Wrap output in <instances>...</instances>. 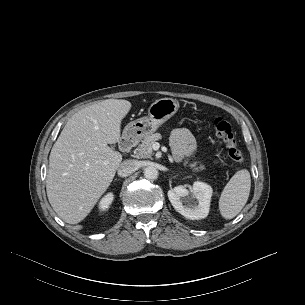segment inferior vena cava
I'll use <instances>...</instances> for the list:
<instances>
[{
  "label": "inferior vena cava",
  "mask_w": 305,
  "mask_h": 305,
  "mask_svg": "<svg viewBox=\"0 0 305 305\" xmlns=\"http://www.w3.org/2000/svg\"><path fill=\"white\" fill-rule=\"evenodd\" d=\"M138 169L137 162L135 160H125L118 168V175L120 177H127L134 173Z\"/></svg>",
  "instance_id": "inferior-vena-cava-1"
}]
</instances>
